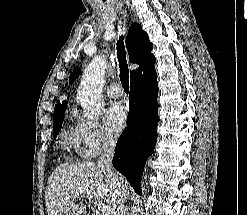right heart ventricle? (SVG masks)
Here are the masks:
<instances>
[{"label": "right heart ventricle", "mask_w": 247, "mask_h": 215, "mask_svg": "<svg viewBox=\"0 0 247 215\" xmlns=\"http://www.w3.org/2000/svg\"><path fill=\"white\" fill-rule=\"evenodd\" d=\"M63 143L69 149H75L76 152L80 155H83V150L80 148V141L76 135L75 129L69 127L63 132Z\"/></svg>", "instance_id": "right-heart-ventricle-1"}]
</instances>
